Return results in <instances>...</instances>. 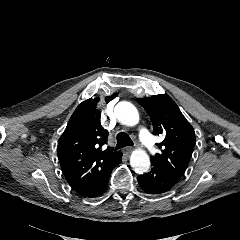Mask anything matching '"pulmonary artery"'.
Listing matches in <instances>:
<instances>
[{"instance_id":"e3ab8cb5","label":"pulmonary artery","mask_w":240,"mask_h":240,"mask_svg":"<svg viewBox=\"0 0 240 240\" xmlns=\"http://www.w3.org/2000/svg\"><path fill=\"white\" fill-rule=\"evenodd\" d=\"M139 138L145 147H147L151 151L154 150L152 137L145 127L139 128Z\"/></svg>"}]
</instances>
